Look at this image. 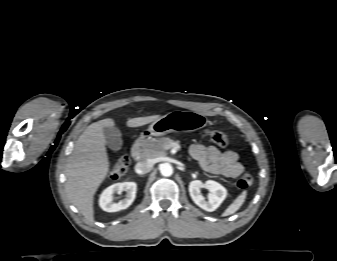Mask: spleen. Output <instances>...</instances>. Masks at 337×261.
<instances>
[{"label":"spleen","mask_w":337,"mask_h":261,"mask_svg":"<svg viewBox=\"0 0 337 261\" xmlns=\"http://www.w3.org/2000/svg\"><path fill=\"white\" fill-rule=\"evenodd\" d=\"M247 192L243 191L234 201L231 203L227 209L223 212V216H229L234 214L245 202Z\"/></svg>","instance_id":"spleen-1"}]
</instances>
